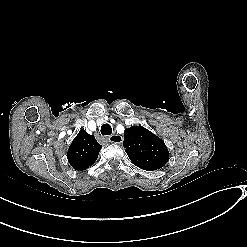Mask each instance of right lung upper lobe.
Instances as JSON below:
<instances>
[{
  "label": "right lung upper lobe",
  "mask_w": 247,
  "mask_h": 247,
  "mask_svg": "<svg viewBox=\"0 0 247 247\" xmlns=\"http://www.w3.org/2000/svg\"><path fill=\"white\" fill-rule=\"evenodd\" d=\"M101 147L93 135L81 129L68 149V161L75 170H85L96 161Z\"/></svg>",
  "instance_id": "right-lung-upper-lobe-1"
}]
</instances>
